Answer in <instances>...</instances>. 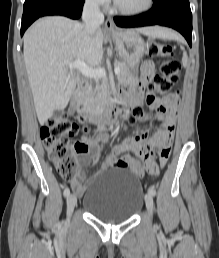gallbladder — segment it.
<instances>
[{"instance_id": "obj_1", "label": "gallbladder", "mask_w": 219, "mask_h": 258, "mask_svg": "<svg viewBox=\"0 0 219 258\" xmlns=\"http://www.w3.org/2000/svg\"><path fill=\"white\" fill-rule=\"evenodd\" d=\"M74 111H75V107H74V106H72V107L70 108V113H71V114H73V113H74Z\"/></svg>"}]
</instances>
